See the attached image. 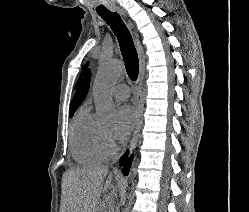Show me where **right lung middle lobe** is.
<instances>
[{
	"mask_svg": "<svg viewBox=\"0 0 249 212\" xmlns=\"http://www.w3.org/2000/svg\"><path fill=\"white\" fill-rule=\"evenodd\" d=\"M74 112H75V111H69V115H70V117H72V116H73Z\"/></svg>",
	"mask_w": 249,
	"mask_h": 212,
	"instance_id": "right-lung-middle-lobe-1",
	"label": "right lung middle lobe"
}]
</instances>
